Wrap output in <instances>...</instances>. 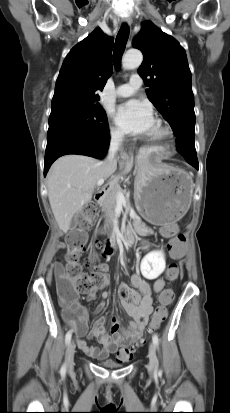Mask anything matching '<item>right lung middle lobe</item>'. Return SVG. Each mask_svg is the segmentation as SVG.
Returning a JSON list of instances; mask_svg holds the SVG:
<instances>
[{"instance_id": "right-lung-middle-lobe-1", "label": "right lung middle lobe", "mask_w": 230, "mask_h": 413, "mask_svg": "<svg viewBox=\"0 0 230 413\" xmlns=\"http://www.w3.org/2000/svg\"><path fill=\"white\" fill-rule=\"evenodd\" d=\"M108 133L107 115L101 106L52 110L47 147L63 140L97 139Z\"/></svg>"}]
</instances>
